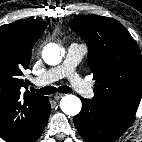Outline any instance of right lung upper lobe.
<instances>
[{
	"mask_svg": "<svg viewBox=\"0 0 142 142\" xmlns=\"http://www.w3.org/2000/svg\"><path fill=\"white\" fill-rule=\"evenodd\" d=\"M45 29L42 20L0 26V136L8 142H23L47 109L48 98L29 92L23 78L33 45Z\"/></svg>",
	"mask_w": 142,
	"mask_h": 142,
	"instance_id": "1",
	"label": "right lung upper lobe"
}]
</instances>
